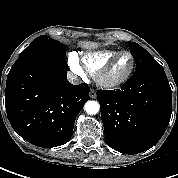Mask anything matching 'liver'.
Wrapping results in <instances>:
<instances>
[{"label": "liver", "mask_w": 178, "mask_h": 178, "mask_svg": "<svg viewBox=\"0 0 178 178\" xmlns=\"http://www.w3.org/2000/svg\"><path fill=\"white\" fill-rule=\"evenodd\" d=\"M82 46L86 47V48H95V47H97V43H94V42H83Z\"/></svg>", "instance_id": "6515ba94"}]
</instances>
